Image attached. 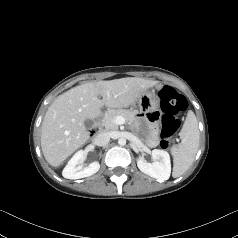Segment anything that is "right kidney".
Listing matches in <instances>:
<instances>
[{"instance_id":"1","label":"right kidney","mask_w":238,"mask_h":238,"mask_svg":"<svg viewBox=\"0 0 238 238\" xmlns=\"http://www.w3.org/2000/svg\"><path fill=\"white\" fill-rule=\"evenodd\" d=\"M84 157L85 152L83 150L76 152L63 169V177L67 179H80L96 173L100 168L99 162L95 161L89 164V166L83 167L79 164L83 163Z\"/></svg>"}]
</instances>
